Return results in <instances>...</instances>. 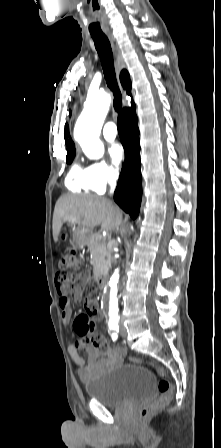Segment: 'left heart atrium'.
<instances>
[{
    "mask_svg": "<svg viewBox=\"0 0 221 448\" xmlns=\"http://www.w3.org/2000/svg\"><path fill=\"white\" fill-rule=\"evenodd\" d=\"M109 157L113 164L120 165L125 156V150L119 143H113L108 149Z\"/></svg>",
    "mask_w": 221,
    "mask_h": 448,
    "instance_id": "1",
    "label": "left heart atrium"
}]
</instances>
